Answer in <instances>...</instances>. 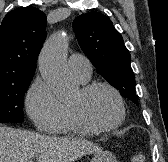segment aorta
<instances>
[{
    "label": "aorta",
    "mask_w": 168,
    "mask_h": 162,
    "mask_svg": "<svg viewBox=\"0 0 168 162\" xmlns=\"http://www.w3.org/2000/svg\"><path fill=\"white\" fill-rule=\"evenodd\" d=\"M68 37L63 32L52 35L39 56V69L43 79L60 100H69L76 94V85L66 66Z\"/></svg>",
    "instance_id": "762f6f07"
}]
</instances>
